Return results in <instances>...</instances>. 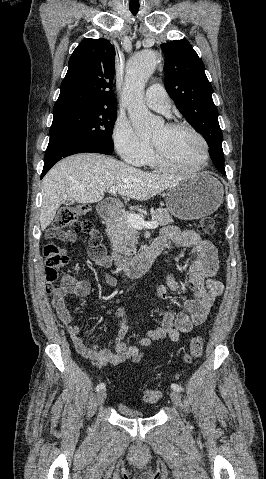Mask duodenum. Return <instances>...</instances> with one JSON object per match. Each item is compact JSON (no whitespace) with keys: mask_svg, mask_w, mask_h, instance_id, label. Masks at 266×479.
I'll return each instance as SVG.
<instances>
[{"mask_svg":"<svg viewBox=\"0 0 266 479\" xmlns=\"http://www.w3.org/2000/svg\"><path fill=\"white\" fill-rule=\"evenodd\" d=\"M116 204L115 201L102 202L98 204L97 212L104 220L112 221L115 217L114 207ZM163 250V243L157 239L137 256L127 258L125 256L113 255V260L122 274L129 278H140L150 270L155 259ZM88 251L93 259L102 254V249L96 245H92Z\"/></svg>","mask_w":266,"mask_h":479,"instance_id":"duodenum-1","label":"duodenum"}]
</instances>
